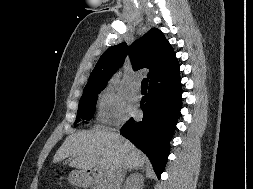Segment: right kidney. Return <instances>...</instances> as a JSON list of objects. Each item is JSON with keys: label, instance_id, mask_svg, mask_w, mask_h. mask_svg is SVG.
<instances>
[{"label": "right kidney", "instance_id": "ca27d5eb", "mask_svg": "<svg viewBox=\"0 0 253 189\" xmlns=\"http://www.w3.org/2000/svg\"><path fill=\"white\" fill-rule=\"evenodd\" d=\"M133 179L127 180V189H142L143 177L141 174H132Z\"/></svg>", "mask_w": 253, "mask_h": 189}]
</instances>
